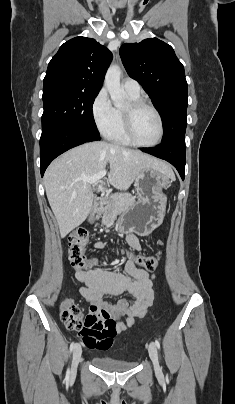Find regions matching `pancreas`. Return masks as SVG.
<instances>
[{
  "instance_id": "pancreas-1",
  "label": "pancreas",
  "mask_w": 235,
  "mask_h": 404,
  "mask_svg": "<svg viewBox=\"0 0 235 404\" xmlns=\"http://www.w3.org/2000/svg\"><path fill=\"white\" fill-rule=\"evenodd\" d=\"M134 201L135 198L129 193L115 195L109 200L107 209L98 212L97 218L103 214L102 223L110 224L119 212L124 211V209L132 205Z\"/></svg>"
}]
</instances>
